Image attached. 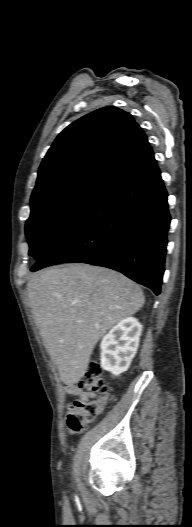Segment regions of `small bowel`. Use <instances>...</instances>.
Returning <instances> with one entry per match:
<instances>
[{
  "instance_id": "obj_1",
  "label": "small bowel",
  "mask_w": 192,
  "mask_h": 527,
  "mask_svg": "<svg viewBox=\"0 0 192 527\" xmlns=\"http://www.w3.org/2000/svg\"><path fill=\"white\" fill-rule=\"evenodd\" d=\"M67 391L72 395H78L82 400H88L89 398L93 397V394L82 392L81 389L76 385H68Z\"/></svg>"
}]
</instances>
